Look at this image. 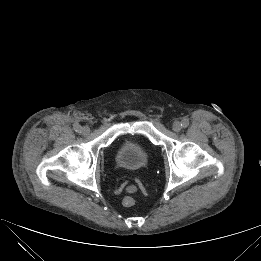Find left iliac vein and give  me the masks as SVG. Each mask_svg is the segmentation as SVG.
<instances>
[{
  "label": "left iliac vein",
  "instance_id": "4c4485c4",
  "mask_svg": "<svg viewBox=\"0 0 261 261\" xmlns=\"http://www.w3.org/2000/svg\"><path fill=\"white\" fill-rule=\"evenodd\" d=\"M172 128L175 132H180L182 129L181 123L179 121H174L172 124Z\"/></svg>",
  "mask_w": 261,
  "mask_h": 261
}]
</instances>
